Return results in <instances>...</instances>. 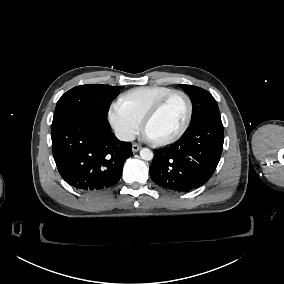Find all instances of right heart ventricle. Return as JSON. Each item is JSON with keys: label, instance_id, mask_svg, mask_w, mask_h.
<instances>
[{"label": "right heart ventricle", "instance_id": "1", "mask_svg": "<svg viewBox=\"0 0 284 284\" xmlns=\"http://www.w3.org/2000/svg\"><path fill=\"white\" fill-rule=\"evenodd\" d=\"M174 90L171 87L159 85L136 87L122 93L118 97L116 105L142 122L148 111L161 98Z\"/></svg>", "mask_w": 284, "mask_h": 284}]
</instances>
